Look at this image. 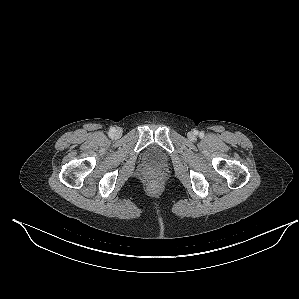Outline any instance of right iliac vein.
Listing matches in <instances>:
<instances>
[{"mask_svg": "<svg viewBox=\"0 0 299 299\" xmlns=\"http://www.w3.org/2000/svg\"><path fill=\"white\" fill-rule=\"evenodd\" d=\"M120 135H121V132H120V131H116V132H115V136H116V137H119Z\"/></svg>", "mask_w": 299, "mask_h": 299, "instance_id": "1", "label": "right iliac vein"}]
</instances>
